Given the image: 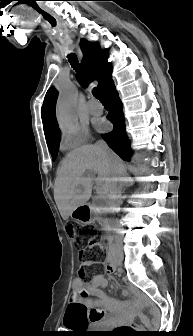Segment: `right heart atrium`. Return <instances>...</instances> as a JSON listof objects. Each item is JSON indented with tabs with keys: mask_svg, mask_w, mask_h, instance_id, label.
<instances>
[{
	"mask_svg": "<svg viewBox=\"0 0 193 336\" xmlns=\"http://www.w3.org/2000/svg\"><path fill=\"white\" fill-rule=\"evenodd\" d=\"M90 139L86 126H80L73 131H65L61 137V145L64 149H75L85 144Z\"/></svg>",
	"mask_w": 193,
	"mask_h": 336,
	"instance_id": "obj_1",
	"label": "right heart atrium"
}]
</instances>
